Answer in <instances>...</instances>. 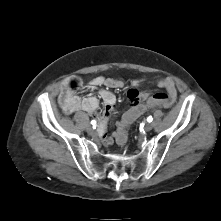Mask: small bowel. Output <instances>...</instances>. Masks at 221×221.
Here are the masks:
<instances>
[{
    "instance_id": "obj_1",
    "label": "small bowel",
    "mask_w": 221,
    "mask_h": 221,
    "mask_svg": "<svg viewBox=\"0 0 221 221\" xmlns=\"http://www.w3.org/2000/svg\"><path fill=\"white\" fill-rule=\"evenodd\" d=\"M141 83L142 80L140 79H134L132 81L133 86L136 87L140 86ZM157 84L159 87L166 90L167 93L165 96L170 98L171 105L177 97V88L174 80L170 77H164L159 79ZM123 85L124 83L119 79L103 76L95 77L89 81L88 88L95 89L101 87L99 95L104 103V110L100 114H98L99 100L96 96L90 95L84 98H80L79 96L75 95L74 92L68 88V86L65 90L62 91L60 95V103L62 104L63 109L68 113L76 110H83L94 117H98V135L105 145H110L113 143L115 137L117 136V130L113 137L107 134L108 121L116 104V96L109 89L122 88ZM146 95L147 94L139 93L136 89L129 90L128 99L130 101V107L140 102L143 103L141 97Z\"/></svg>"
}]
</instances>
